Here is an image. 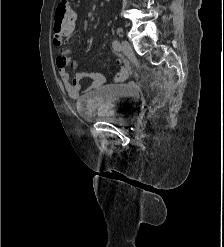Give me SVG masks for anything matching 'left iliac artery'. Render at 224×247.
<instances>
[{
  "label": "left iliac artery",
  "mask_w": 224,
  "mask_h": 247,
  "mask_svg": "<svg viewBox=\"0 0 224 247\" xmlns=\"http://www.w3.org/2000/svg\"><path fill=\"white\" fill-rule=\"evenodd\" d=\"M112 46H113V49L115 51H119L120 50V43L118 40H114L113 43H112Z\"/></svg>",
  "instance_id": "1"
}]
</instances>
